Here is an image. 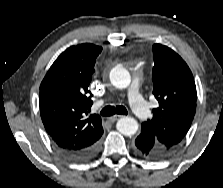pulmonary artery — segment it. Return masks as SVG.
Instances as JSON below:
<instances>
[{
  "mask_svg": "<svg viewBox=\"0 0 223 188\" xmlns=\"http://www.w3.org/2000/svg\"><path fill=\"white\" fill-rule=\"evenodd\" d=\"M139 82V78L137 76L134 77L131 89L129 91V101L134 113L139 118L145 119L149 116L150 111L146 106V103L144 102L142 96L140 95ZM100 103H103V101H100Z\"/></svg>",
  "mask_w": 223,
  "mask_h": 188,
  "instance_id": "pulmonary-artery-1",
  "label": "pulmonary artery"
}]
</instances>
